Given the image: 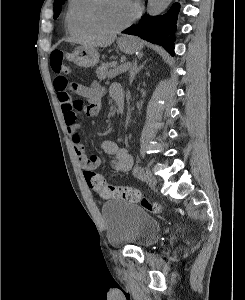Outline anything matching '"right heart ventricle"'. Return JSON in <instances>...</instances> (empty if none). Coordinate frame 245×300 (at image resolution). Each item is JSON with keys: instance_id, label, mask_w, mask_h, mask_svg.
Returning <instances> with one entry per match:
<instances>
[{"instance_id": "e07e8e85", "label": "right heart ventricle", "mask_w": 245, "mask_h": 300, "mask_svg": "<svg viewBox=\"0 0 245 300\" xmlns=\"http://www.w3.org/2000/svg\"><path fill=\"white\" fill-rule=\"evenodd\" d=\"M86 0H69L65 16V25L71 34L87 35L93 34L82 21V10Z\"/></svg>"}]
</instances>
